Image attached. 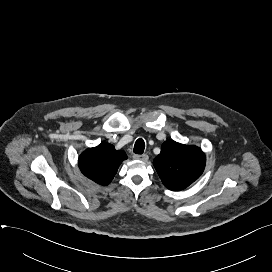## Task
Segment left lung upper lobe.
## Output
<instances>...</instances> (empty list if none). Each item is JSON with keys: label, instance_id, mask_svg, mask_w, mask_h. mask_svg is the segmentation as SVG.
Listing matches in <instances>:
<instances>
[{"label": "left lung upper lobe", "instance_id": "obj_1", "mask_svg": "<svg viewBox=\"0 0 272 272\" xmlns=\"http://www.w3.org/2000/svg\"><path fill=\"white\" fill-rule=\"evenodd\" d=\"M205 154L197 146L167 140L153 161L163 184L170 190L180 191L197 180L203 173Z\"/></svg>", "mask_w": 272, "mask_h": 272}]
</instances>
